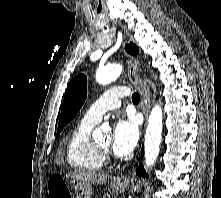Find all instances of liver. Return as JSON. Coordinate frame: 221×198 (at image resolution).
I'll use <instances>...</instances> for the list:
<instances>
[{
    "mask_svg": "<svg viewBox=\"0 0 221 198\" xmlns=\"http://www.w3.org/2000/svg\"><path fill=\"white\" fill-rule=\"evenodd\" d=\"M68 178H73L77 181H83L89 184H103L107 181V176L92 173V172H70L66 175Z\"/></svg>",
    "mask_w": 221,
    "mask_h": 198,
    "instance_id": "obj_1",
    "label": "liver"
}]
</instances>
